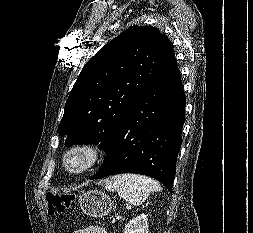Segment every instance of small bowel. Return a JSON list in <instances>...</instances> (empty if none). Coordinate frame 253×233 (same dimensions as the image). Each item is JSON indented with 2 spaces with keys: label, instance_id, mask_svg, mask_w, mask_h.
Masks as SVG:
<instances>
[{
  "label": "small bowel",
  "instance_id": "small-bowel-1",
  "mask_svg": "<svg viewBox=\"0 0 253 233\" xmlns=\"http://www.w3.org/2000/svg\"><path fill=\"white\" fill-rule=\"evenodd\" d=\"M75 233H107L106 230L99 226H91L81 230L76 231Z\"/></svg>",
  "mask_w": 253,
  "mask_h": 233
}]
</instances>
